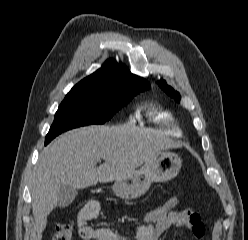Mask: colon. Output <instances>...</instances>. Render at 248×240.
Here are the masks:
<instances>
[{"mask_svg": "<svg viewBox=\"0 0 248 240\" xmlns=\"http://www.w3.org/2000/svg\"><path fill=\"white\" fill-rule=\"evenodd\" d=\"M179 204V198L174 196L166 199L156 207L146 211L140 219V225L156 221L165 217ZM74 234V225L71 222L59 223L55 227V233L52 240H72Z\"/></svg>", "mask_w": 248, "mask_h": 240, "instance_id": "1", "label": "colon"}]
</instances>
